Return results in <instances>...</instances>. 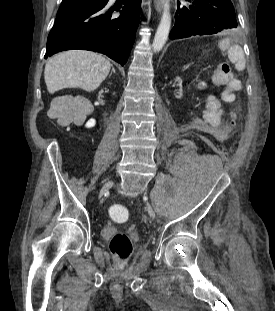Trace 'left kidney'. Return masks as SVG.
<instances>
[{
    "label": "left kidney",
    "mask_w": 275,
    "mask_h": 311,
    "mask_svg": "<svg viewBox=\"0 0 275 311\" xmlns=\"http://www.w3.org/2000/svg\"><path fill=\"white\" fill-rule=\"evenodd\" d=\"M177 81L178 82H173L172 83V88L173 89H179L176 98L181 99L182 98V79L180 77H177Z\"/></svg>",
    "instance_id": "obj_1"
}]
</instances>
